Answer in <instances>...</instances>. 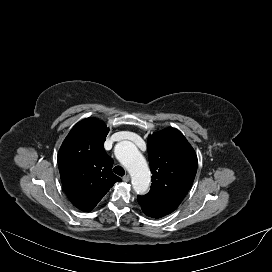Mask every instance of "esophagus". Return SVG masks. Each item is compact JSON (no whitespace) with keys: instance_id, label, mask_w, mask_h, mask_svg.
<instances>
[{"instance_id":"obj_1","label":"esophagus","mask_w":272,"mask_h":272,"mask_svg":"<svg viewBox=\"0 0 272 272\" xmlns=\"http://www.w3.org/2000/svg\"><path fill=\"white\" fill-rule=\"evenodd\" d=\"M122 179H123L124 182H129L130 181V176L127 174Z\"/></svg>"}]
</instances>
